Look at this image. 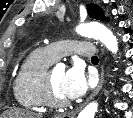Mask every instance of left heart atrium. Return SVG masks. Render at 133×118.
<instances>
[{"label":"left heart atrium","instance_id":"1","mask_svg":"<svg viewBox=\"0 0 133 118\" xmlns=\"http://www.w3.org/2000/svg\"><path fill=\"white\" fill-rule=\"evenodd\" d=\"M91 79L87 77L83 66L75 64L63 76L61 90L67 99H76L87 92Z\"/></svg>","mask_w":133,"mask_h":118}]
</instances>
